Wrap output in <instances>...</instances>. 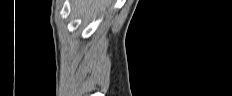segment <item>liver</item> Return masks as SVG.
I'll list each match as a JSON object with an SVG mask.
<instances>
[{
    "label": "liver",
    "instance_id": "1",
    "mask_svg": "<svg viewBox=\"0 0 232 96\" xmlns=\"http://www.w3.org/2000/svg\"><path fill=\"white\" fill-rule=\"evenodd\" d=\"M110 5L111 0H74L73 10L83 18H90L106 12Z\"/></svg>",
    "mask_w": 232,
    "mask_h": 96
}]
</instances>
